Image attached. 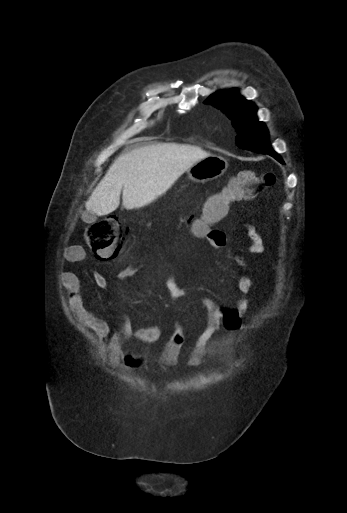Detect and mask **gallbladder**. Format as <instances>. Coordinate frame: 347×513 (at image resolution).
<instances>
[{
    "mask_svg": "<svg viewBox=\"0 0 347 513\" xmlns=\"http://www.w3.org/2000/svg\"><path fill=\"white\" fill-rule=\"evenodd\" d=\"M84 215H85V221L87 223H92L96 220V216L92 213H85Z\"/></svg>",
    "mask_w": 347,
    "mask_h": 513,
    "instance_id": "obj_1",
    "label": "gallbladder"
}]
</instances>
